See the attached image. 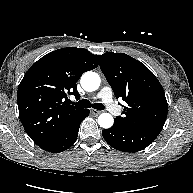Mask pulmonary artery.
Wrapping results in <instances>:
<instances>
[{
    "instance_id": "pulmonary-artery-1",
    "label": "pulmonary artery",
    "mask_w": 193,
    "mask_h": 193,
    "mask_svg": "<svg viewBox=\"0 0 193 193\" xmlns=\"http://www.w3.org/2000/svg\"><path fill=\"white\" fill-rule=\"evenodd\" d=\"M97 98L101 99L106 105L109 111L113 114L119 113V108L113 102L112 99V90L110 87H103L100 92L97 94Z\"/></svg>"
}]
</instances>
